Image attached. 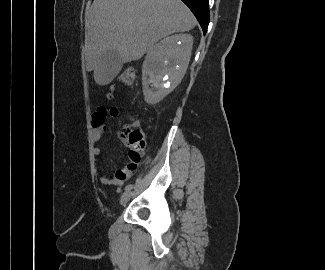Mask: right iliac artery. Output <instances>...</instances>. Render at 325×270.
Listing matches in <instances>:
<instances>
[{
	"label": "right iliac artery",
	"instance_id": "right-iliac-artery-1",
	"mask_svg": "<svg viewBox=\"0 0 325 270\" xmlns=\"http://www.w3.org/2000/svg\"><path fill=\"white\" fill-rule=\"evenodd\" d=\"M133 188V185L132 184H128L126 187H125V190L126 191H129Z\"/></svg>",
	"mask_w": 325,
	"mask_h": 270
}]
</instances>
